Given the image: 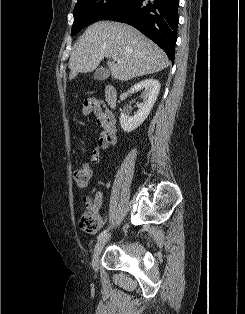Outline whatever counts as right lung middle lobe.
Here are the masks:
<instances>
[{
  "instance_id": "right-lung-middle-lobe-1",
  "label": "right lung middle lobe",
  "mask_w": 245,
  "mask_h": 314,
  "mask_svg": "<svg viewBox=\"0 0 245 314\" xmlns=\"http://www.w3.org/2000/svg\"><path fill=\"white\" fill-rule=\"evenodd\" d=\"M130 0H78L74 8L72 35L120 8Z\"/></svg>"
}]
</instances>
